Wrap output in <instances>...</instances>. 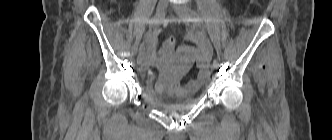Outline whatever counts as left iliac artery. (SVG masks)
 I'll use <instances>...</instances> for the list:
<instances>
[{
  "instance_id": "1",
  "label": "left iliac artery",
  "mask_w": 332,
  "mask_h": 140,
  "mask_svg": "<svg viewBox=\"0 0 332 140\" xmlns=\"http://www.w3.org/2000/svg\"><path fill=\"white\" fill-rule=\"evenodd\" d=\"M191 21L195 23V26L198 28V29H203V20L202 18L197 14L196 11L192 10V18H191ZM213 63L219 67V61L218 59H214Z\"/></svg>"
}]
</instances>
